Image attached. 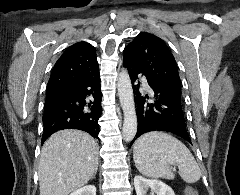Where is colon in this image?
<instances>
[{
  "label": "colon",
  "mask_w": 240,
  "mask_h": 195,
  "mask_svg": "<svg viewBox=\"0 0 240 195\" xmlns=\"http://www.w3.org/2000/svg\"><path fill=\"white\" fill-rule=\"evenodd\" d=\"M186 191H187V192H190V191H191V186H190V185H187V186H186ZM192 192H193V191H192ZM195 195H196V193H195Z\"/></svg>",
  "instance_id": "colon-1"
}]
</instances>
